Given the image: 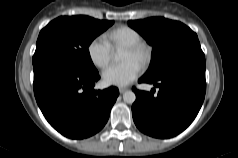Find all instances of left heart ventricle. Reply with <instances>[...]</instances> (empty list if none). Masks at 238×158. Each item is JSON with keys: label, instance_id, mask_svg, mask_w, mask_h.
I'll return each instance as SVG.
<instances>
[{"label": "left heart ventricle", "instance_id": "1", "mask_svg": "<svg viewBox=\"0 0 238 158\" xmlns=\"http://www.w3.org/2000/svg\"><path fill=\"white\" fill-rule=\"evenodd\" d=\"M122 60L123 61H127V60H135L138 62L137 57L130 51L126 50L124 51V54L122 56Z\"/></svg>", "mask_w": 238, "mask_h": 158}]
</instances>
